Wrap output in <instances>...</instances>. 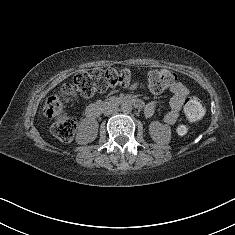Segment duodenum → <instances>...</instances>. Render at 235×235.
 I'll use <instances>...</instances> for the list:
<instances>
[{"mask_svg": "<svg viewBox=\"0 0 235 235\" xmlns=\"http://www.w3.org/2000/svg\"><path fill=\"white\" fill-rule=\"evenodd\" d=\"M119 102L132 104L134 107H136L138 109L143 107L142 101L137 100V99H132L129 97L122 98L119 100ZM101 110H102V108L100 105L91 104L86 109V116L91 119L97 118L100 115Z\"/></svg>", "mask_w": 235, "mask_h": 235, "instance_id": "duodenum-1", "label": "duodenum"}]
</instances>
